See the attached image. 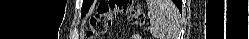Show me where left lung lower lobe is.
Segmentation results:
<instances>
[{
	"mask_svg": "<svg viewBox=\"0 0 249 39\" xmlns=\"http://www.w3.org/2000/svg\"><path fill=\"white\" fill-rule=\"evenodd\" d=\"M174 3L178 6V8L181 10V1L180 0H174Z\"/></svg>",
	"mask_w": 249,
	"mask_h": 39,
	"instance_id": "left-lung-lower-lobe-1",
	"label": "left lung lower lobe"
}]
</instances>
